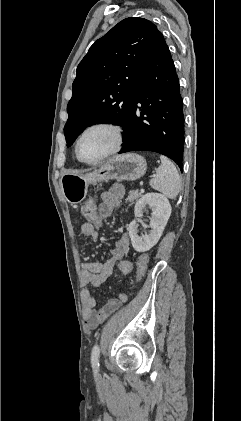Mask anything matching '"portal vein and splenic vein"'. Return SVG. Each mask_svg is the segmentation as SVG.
<instances>
[{"label": "portal vein and splenic vein", "mask_w": 241, "mask_h": 421, "mask_svg": "<svg viewBox=\"0 0 241 421\" xmlns=\"http://www.w3.org/2000/svg\"><path fill=\"white\" fill-rule=\"evenodd\" d=\"M140 192H141V193H144V189H140Z\"/></svg>", "instance_id": "obj_1"}]
</instances>
